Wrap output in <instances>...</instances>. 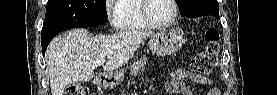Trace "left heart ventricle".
Masks as SVG:
<instances>
[{
    "instance_id": "b2bd125f",
    "label": "left heart ventricle",
    "mask_w": 277,
    "mask_h": 95,
    "mask_svg": "<svg viewBox=\"0 0 277 95\" xmlns=\"http://www.w3.org/2000/svg\"><path fill=\"white\" fill-rule=\"evenodd\" d=\"M148 14L154 21H168L173 15V5L170 0H150Z\"/></svg>"
}]
</instances>
